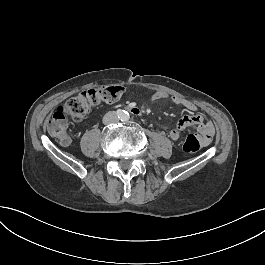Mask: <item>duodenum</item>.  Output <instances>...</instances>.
Returning a JSON list of instances; mask_svg holds the SVG:
<instances>
[{"label":"duodenum","instance_id":"duodenum-1","mask_svg":"<svg viewBox=\"0 0 265 265\" xmlns=\"http://www.w3.org/2000/svg\"><path fill=\"white\" fill-rule=\"evenodd\" d=\"M131 113H133L134 115H141L142 114V111L136 107V106H129L127 108Z\"/></svg>","mask_w":265,"mask_h":265}]
</instances>
